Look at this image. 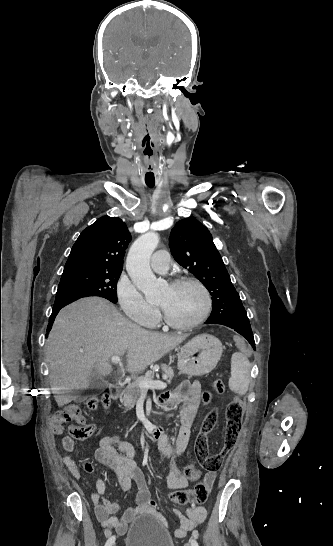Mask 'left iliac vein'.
<instances>
[{
    "label": "left iliac vein",
    "instance_id": "4c4485c4",
    "mask_svg": "<svg viewBox=\"0 0 333 546\" xmlns=\"http://www.w3.org/2000/svg\"><path fill=\"white\" fill-rule=\"evenodd\" d=\"M185 546H190V544L186 543Z\"/></svg>",
    "mask_w": 333,
    "mask_h": 546
}]
</instances>
